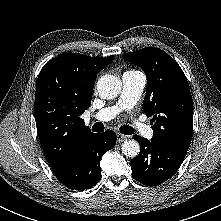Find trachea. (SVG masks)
Masks as SVG:
<instances>
[{"label": "trachea", "instance_id": "trachea-1", "mask_svg": "<svg viewBox=\"0 0 221 221\" xmlns=\"http://www.w3.org/2000/svg\"><path fill=\"white\" fill-rule=\"evenodd\" d=\"M93 130L95 132H102L104 130V126L102 123H96L93 126ZM120 131L122 134L124 135H131L134 133V129L132 127H130L129 125H123L120 127Z\"/></svg>", "mask_w": 221, "mask_h": 221}]
</instances>
